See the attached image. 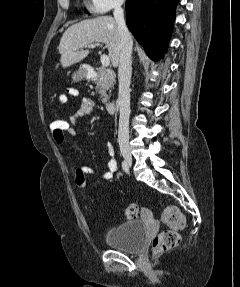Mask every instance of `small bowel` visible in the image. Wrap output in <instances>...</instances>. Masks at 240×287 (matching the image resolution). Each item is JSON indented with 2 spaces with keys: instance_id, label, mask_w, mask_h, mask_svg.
<instances>
[{
  "instance_id": "c3829d8e",
  "label": "small bowel",
  "mask_w": 240,
  "mask_h": 287,
  "mask_svg": "<svg viewBox=\"0 0 240 287\" xmlns=\"http://www.w3.org/2000/svg\"><path fill=\"white\" fill-rule=\"evenodd\" d=\"M68 96L73 97V98H79L80 105L77 111L71 116H69L68 118L69 128L66 132L65 137L63 139L54 138L56 143L60 145L65 144L67 135L74 136L76 134V125H77L78 120L89 115L93 111L96 105L95 101L92 98L80 96L79 91L73 87H68L66 89V94H60L57 98L58 102L61 105L67 104ZM106 152H107V163H106L107 169L102 173V178L104 180H111L115 171L117 170V163L115 160L114 148L112 144L108 143L106 145ZM77 171L82 172L84 175L85 174L91 175L94 173L92 168L88 166H79ZM141 216L144 219H150L152 217V214L150 210L143 208L141 211Z\"/></svg>"
}]
</instances>
